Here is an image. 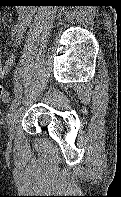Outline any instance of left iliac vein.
Listing matches in <instances>:
<instances>
[{"mask_svg":"<svg viewBox=\"0 0 121 197\" xmlns=\"http://www.w3.org/2000/svg\"><path fill=\"white\" fill-rule=\"evenodd\" d=\"M23 107L21 105H18L10 114L8 117V135L10 140H12L15 136V130L16 125L18 122V119L21 115Z\"/></svg>","mask_w":121,"mask_h":197,"instance_id":"4c4485c4","label":"left iliac vein"}]
</instances>
